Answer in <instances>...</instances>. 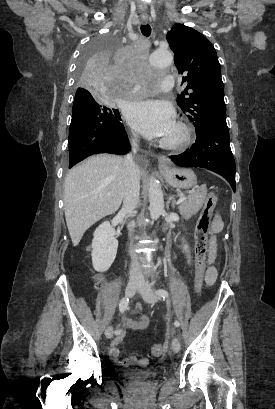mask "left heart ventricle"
<instances>
[{"instance_id":"obj_1","label":"left heart ventricle","mask_w":275,"mask_h":409,"mask_svg":"<svg viewBox=\"0 0 275 409\" xmlns=\"http://www.w3.org/2000/svg\"><path fill=\"white\" fill-rule=\"evenodd\" d=\"M175 135H176V129H175V127H173V128L169 131V133H167L163 138H165V139H170V138H173Z\"/></svg>"}]
</instances>
